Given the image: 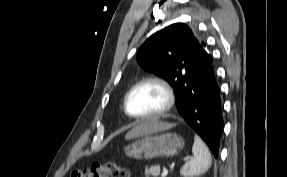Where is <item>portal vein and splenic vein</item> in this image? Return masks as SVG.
Segmentation results:
<instances>
[{
    "instance_id": "18ae733b",
    "label": "portal vein and splenic vein",
    "mask_w": 287,
    "mask_h": 177,
    "mask_svg": "<svg viewBox=\"0 0 287 177\" xmlns=\"http://www.w3.org/2000/svg\"><path fill=\"white\" fill-rule=\"evenodd\" d=\"M169 173V170L168 169H164L162 174H161V177H166Z\"/></svg>"
}]
</instances>
